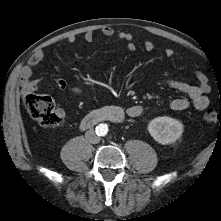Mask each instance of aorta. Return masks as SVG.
Masks as SVG:
<instances>
[{"instance_id":"1","label":"aorta","mask_w":221,"mask_h":221,"mask_svg":"<svg viewBox=\"0 0 221 221\" xmlns=\"http://www.w3.org/2000/svg\"><path fill=\"white\" fill-rule=\"evenodd\" d=\"M96 133L98 136H105L108 133V126L106 124H99L96 127Z\"/></svg>"}]
</instances>
